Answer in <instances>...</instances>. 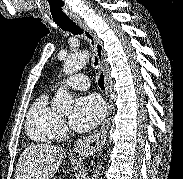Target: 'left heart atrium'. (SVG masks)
Here are the masks:
<instances>
[{"label": "left heart atrium", "instance_id": "39dd6f15", "mask_svg": "<svg viewBox=\"0 0 183 179\" xmlns=\"http://www.w3.org/2000/svg\"><path fill=\"white\" fill-rule=\"evenodd\" d=\"M104 116L105 106L98 96H81L75 103L71 124L76 130L86 132L94 129Z\"/></svg>", "mask_w": 183, "mask_h": 179}]
</instances>
